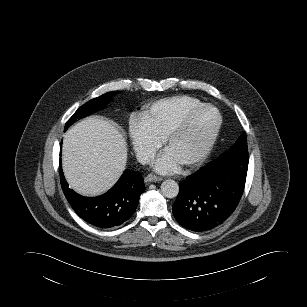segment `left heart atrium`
I'll use <instances>...</instances> for the list:
<instances>
[{
    "mask_svg": "<svg viewBox=\"0 0 307 307\" xmlns=\"http://www.w3.org/2000/svg\"><path fill=\"white\" fill-rule=\"evenodd\" d=\"M180 163L169 153L164 152L155 162V169L160 173H170L178 169Z\"/></svg>",
    "mask_w": 307,
    "mask_h": 307,
    "instance_id": "1",
    "label": "left heart atrium"
}]
</instances>
